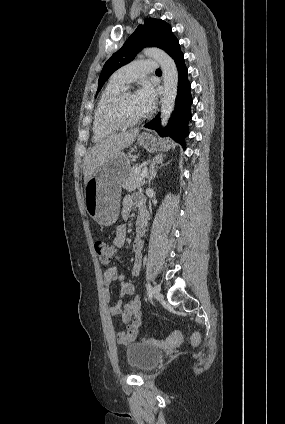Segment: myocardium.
I'll use <instances>...</instances> for the list:
<instances>
[{
    "label": "myocardium",
    "mask_w": 285,
    "mask_h": 424,
    "mask_svg": "<svg viewBox=\"0 0 285 424\" xmlns=\"http://www.w3.org/2000/svg\"><path fill=\"white\" fill-rule=\"evenodd\" d=\"M131 93H133L132 90L124 88L107 103L102 112V123L105 126L118 129L129 128L138 125L147 118V114L134 120H125L120 116V105L123 100Z\"/></svg>",
    "instance_id": "1"
}]
</instances>
